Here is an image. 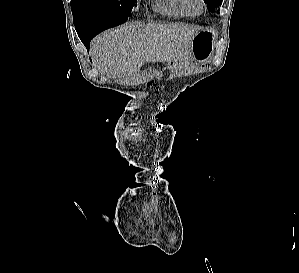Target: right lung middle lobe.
<instances>
[{"label": "right lung middle lobe", "instance_id": "obj_1", "mask_svg": "<svg viewBox=\"0 0 299 273\" xmlns=\"http://www.w3.org/2000/svg\"><path fill=\"white\" fill-rule=\"evenodd\" d=\"M137 0H71L75 27L129 16Z\"/></svg>", "mask_w": 299, "mask_h": 273}]
</instances>
